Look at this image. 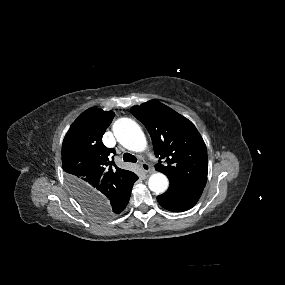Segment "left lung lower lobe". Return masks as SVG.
Listing matches in <instances>:
<instances>
[{
    "mask_svg": "<svg viewBox=\"0 0 285 285\" xmlns=\"http://www.w3.org/2000/svg\"><path fill=\"white\" fill-rule=\"evenodd\" d=\"M203 192L197 188L170 180L168 191L157 197L158 203L173 212H182L192 208Z\"/></svg>",
    "mask_w": 285,
    "mask_h": 285,
    "instance_id": "0a47b994",
    "label": "left lung lower lobe"
}]
</instances>
